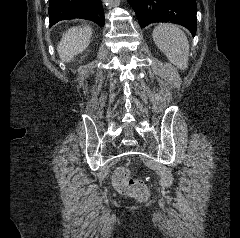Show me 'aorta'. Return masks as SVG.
<instances>
[{
  "mask_svg": "<svg viewBox=\"0 0 240 238\" xmlns=\"http://www.w3.org/2000/svg\"><path fill=\"white\" fill-rule=\"evenodd\" d=\"M112 6H118L121 0H106Z\"/></svg>",
  "mask_w": 240,
  "mask_h": 238,
  "instance_id": "762f6f07",
  "label": "aorta"
}]
</instances>
